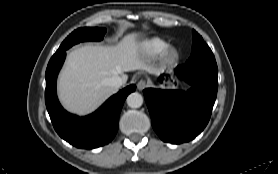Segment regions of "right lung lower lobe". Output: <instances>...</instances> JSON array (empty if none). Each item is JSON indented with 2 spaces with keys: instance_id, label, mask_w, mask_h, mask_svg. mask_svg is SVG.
Segmentation results:
<instances>
[{
  "instance_id": "1",
  "label": "right lung lower lobe",
  "mask_w": 278,
  "mask_h": 174,
  "mask_svg": "<svg viewBox=\"0 0 278 174\" xmlns=\"http://www.w3.org/2000/svg\"><path fill=\"white\" fill-rule=\"evenodd\" d=\"M65 56L66 50L57 51L50 59L45 75V102L54 129L61 138L78 148L92 149L108 144L116 135L123 103L136 87L130 85L119 91L91 115H72L62 108L56 95V78Z\"/></svg>"
}]
</instances>
